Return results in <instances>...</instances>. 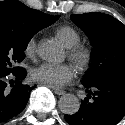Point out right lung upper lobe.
Listing matches in <instances>:
<instances>
[{
	"label": "right lung upper lobe",
	"instance_id": "right-lung-upper-lobe-1",
	"mask_svg": "<svg viewBox=\"0 0 125 125\" xmlns=\"http://www.w3.org/2000/svg\"><path fill=\"white\" fill-rule=\"evenodd\" d=\"M50 17L16 0L0 2V27L15 33L34 35L49 26Z\"/></svg>",
	"mask_w": 125,
	"mask_h": 125
}]
</instances>
